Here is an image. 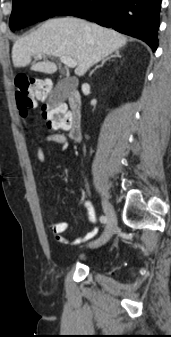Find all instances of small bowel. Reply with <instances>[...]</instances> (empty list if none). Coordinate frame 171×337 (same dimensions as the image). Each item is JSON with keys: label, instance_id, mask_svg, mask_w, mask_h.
Wrapping results in <instances>:
<instances>
[{"label": "small bowel", "instance_id": "obj_1", "mask_svg": "<svg viewBox=\"0 0 171 337\" xmlns=\"http://www.w3.org/2000/svg\"><path fill=\"white\" fill-rule=\"evenodd\" d=\"M47 143L58 144L63 149H67L69 146L68 139L66 135L63 133H54L42 138L36 146V158L40 164H44L46 162L45 145ZM84 206L87 209L88 220L91 224L90 229L87 232L79 235L78 237L70 239L65 236V233L67 232L70 226L68 222L66 221L51 222L49 225L50 231L58 242L65 245H76L90 241L97 235L98 227L95 225L96 219L94 209L91 203L88 201L84 202Z\"/></svg>", "mask_w": 171, "mask_h": 337}]
</instances>
